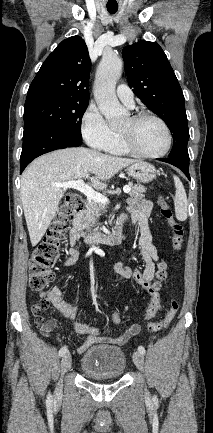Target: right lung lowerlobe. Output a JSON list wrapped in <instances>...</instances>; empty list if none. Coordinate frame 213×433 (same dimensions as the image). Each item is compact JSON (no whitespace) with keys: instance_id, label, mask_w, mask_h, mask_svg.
<instances>
[{"instance_id":"1","label":"right lung lower lobe","mask_w":213,"mask_h":433,"mask_svg":"<svg viewBox=\"0 0 213 433\" xmlns=\"http://www.w3.org/2000/svg\"><path fill=\"white\" fill-rule=\"evenodd\" d=\"M82 139L49 124L30 121L24 124L23 148L20 157V173L34 158L56 149L77 147Z\"/></svg>"}]
</instances>
